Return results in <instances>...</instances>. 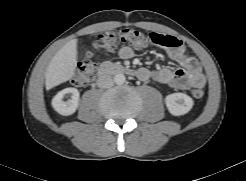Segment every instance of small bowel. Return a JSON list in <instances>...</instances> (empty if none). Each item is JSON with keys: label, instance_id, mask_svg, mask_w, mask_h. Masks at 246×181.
I'll list each match as a JSON object with an SVG mask.
<instances>
[{"label": "small bowel", "instance_id": "small-bowel-1", "mask_svg": "<svg viewBox=\"0 0 246 181\" xmlns=\"http://www.w3.org/2000/svg\"><path fill=\"white\" fill-rule=\"evenodd\" d=\"M165 49L170 59L176 62L179 67L177 69L161 68L159 70L139 68L137 70L139 72V79L154 81L177 89L205 86L206 80L199 62L186 52L182 42L176 48ZM119 56L122 59H131L134 56V50L130 46H123L119 50Z\"/></svg>", "mask_w": 246, "mask_h": 181}]
</instances>
